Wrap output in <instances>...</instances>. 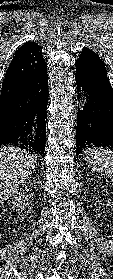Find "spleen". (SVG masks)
Instances as JSON below:
<instances>
[{
	"label": "spleen",
	"instance_id": "spleen-1",
	"mask_svg": "<svg viewBox=\"0 0 113 279\" xmlns=\"http://www.w3.org/2000/svg\"><path fill=\"white\" fill-rule=\"evenodd\" d=\"M88 166L97 172L104 173L113 184V151L102 147H91L86 150Z\"/></svg>",
	"mask_w": 113,
	"mask_h": 279
}]
</instances>
